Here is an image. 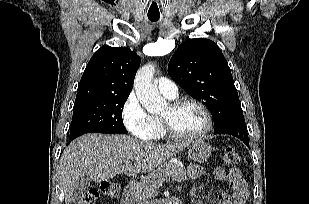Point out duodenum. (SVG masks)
<instances>
[{"label":"duodenum","instance_id":"obj_1","mask_svg":"<svg viewBox=\"0 0 309 204\" xmlns=\"http://www.w3.org/2000/svg\"><path fill=\"white\" fill-rule=\"evenodd\" d=\"M137 182L135 180H130L123 191V197L121 200V204H132L135 196Z\"/></svg>","mask_w":309,"mask_h":204}]
</instances>
